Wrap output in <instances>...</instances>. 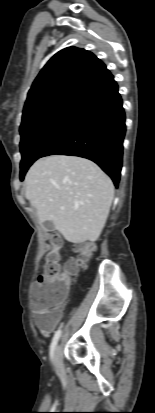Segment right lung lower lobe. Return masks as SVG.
<instances>
[{"label": "right lung lower lobe", "instance_id": "obj_1", "mask_svg": "<svg viewBox=\"0 0 155 413\" xmlns=\"http://www.w3.org/2000/svg\"><path fill=\"white\" fill-rule=\"evenodd\" d=\"M125 131L122 99L113 79L78 104L64 131L42 157L62 154L90 159L118 187Z\"/></svg>", "mask_w": 155, "mask_h": 413}]
</instances>
